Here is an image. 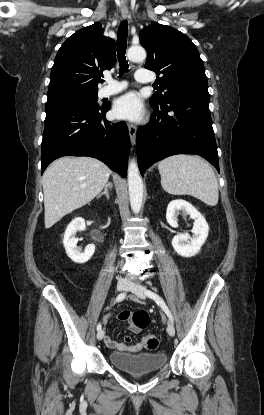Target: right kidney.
<instances>
[{
    "label": "right kidney",
    "instance_id": "1",
    "mask_svg": "<svg viewBox=\"0 0 264 415\" xmlns=\"http://www.w3.org/2000/svg\"><path fill=\"white\" fill-rule=\"evenodd\" d=\"M85 227V220L83 218H75L67 226L63 238V245L65 247L66 254L73 262L78 264H83L87 262L92 257L95 251L94 244L87 245L83 252H81V250L78 249L76 246L79 239L75 237V234L78 231L84 230Z\"/></svg>",
    "mask_w": 264,
    "mask_h": 415
}]
</instances>
